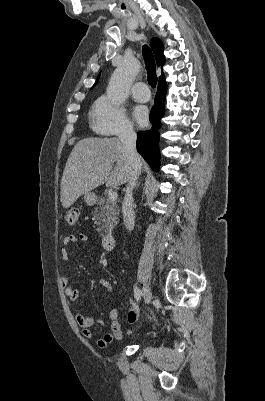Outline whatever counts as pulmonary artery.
Listing matches in <instances>:
<instances>
[{"label":"pulmonary artery","instance_id":"obj_1","mask_svg":"<svg viewBox=\"0 0 265 401\" xmlns=\"http://www.w3.org/2000/svg\"><path fill=\"white\" fill-rule=\"evenodd\" d=\"M140 79L141 78H137L135 91H132L131 96L139 102H148L151 98V94L148 93L149 83Z\"/></svg>","mask_w":265,"mask_h":401}]
</instances>
